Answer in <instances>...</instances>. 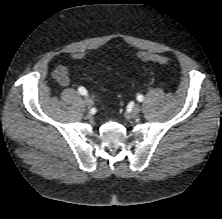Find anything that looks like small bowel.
I'll use <instances>...</instances> for the list:
<instances>
[{
	"instance_id": "c3829d8e",
	"label": "small bowel",
	"mask_w": 222,
	"mask_h": 219,
	"mask_svg": "<svg viewBox=\"0 0 222 219\" xmlns=\"http://www.w3.org/2000/svg\"><path fill=\"white\" fill-rule=\"evenodd\" d=\"M85 57L86 53L84 52H76L71 55V58L75 61H81L85 59ZM53 76L62 86H67L70 84V71L64 65H59L54 71Z\"/></svg>"
}]
</instances>
